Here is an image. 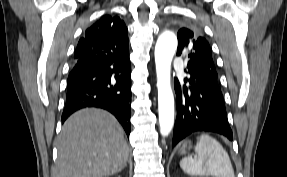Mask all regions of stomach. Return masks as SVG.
Wrapping results in <instances>:
<instances>
[{"label": "stomach", "instance_id": "obj_1", "mask_svg": "<svg viewBox=\"0 0 287 177\" xmlns=\"http://www.w3.org/2000/svg\"><path fill=\"white\" fill-rule=\"evenodd\" d=\"M189 142L183 144V146L179 149V154H184L187 150Z\"/></svg>", "mask_w": 287, "mask_h": 177}]
</instances>
